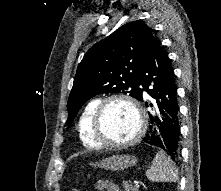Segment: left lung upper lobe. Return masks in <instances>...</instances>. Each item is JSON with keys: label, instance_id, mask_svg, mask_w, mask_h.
Returning a JSON list of instances; mask_svg holds the SVG:
<instances>
[{"label": "left lung upper lobe", "instance_id": "left-lung-upper-lobe-1", "mask_svg": "<svg viewBox=\"0 0 221 191\" xmlns=\"http://www.w3.org/2000/svg\"><path fill=\"white\" fill-rule=\"evenodd\" d=\"M154 39L152 29L138 20L93 45L78 65L67 103L66 125L98 94L123 93L138 99L139 73Z\"/></svg>", "mask_w": 221, "mask_h": 191}]
</instances>
